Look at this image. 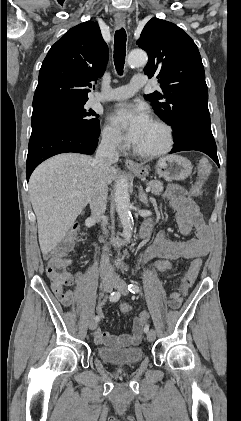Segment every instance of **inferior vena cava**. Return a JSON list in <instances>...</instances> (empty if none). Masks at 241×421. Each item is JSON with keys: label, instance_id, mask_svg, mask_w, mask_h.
Wrapping results in <instances>:
<instances>
[{"label": "inferior vena cava", "instance_id": "602c4592", "mask_svg": "<svg viewBox=\"0 0 241 421\" xmlns=\"http://www.w3.org/2000/svg\"><path fill=\"white\" fill-rule=\"evenodd\" d=\"M119 159L117 151V141L114 137H104L98 146L95 159L93 161L96 167L97 181L92 191L89 204L91 209V217L98 221L101 220L103 213L106 210L108 184L106 180V172L116 163ZM105 231V223H103ZM108 247L103 248L101 257V277L112 278L114 272L109 264V256L107 254Z\"/></svg>", "mask_w": 241, "mask_h": 421}]
</instances>
